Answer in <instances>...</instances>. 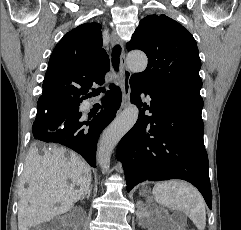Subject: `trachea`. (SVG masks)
Instances as JSON below:
<instances>
[{"label":"trachea","mask_w":241,"mask_h":230,"mask_svg":"<svg viewBox=\"0 0 241 230\" xmlns=\"http://www.w3.org/2000/svg\"><path fill=\"white\" fill-rule=\"evenodd\" d=\"M120 54H121V47L119 45H116L113 48V51H112V63H113V66L117 70H118V66H119V56H120ZM101 92H105V88H98V89L94 90L90 95L97 96Z\"/></svg>","instance_id":"3493384b"}]
</instances>
